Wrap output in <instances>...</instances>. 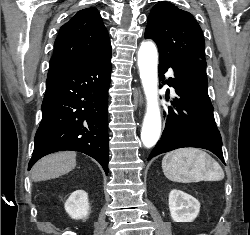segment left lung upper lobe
Here are the masks:
<instances>
[{
	"label": "left lung upper lobe",
	"mask_w": 250,
	"mask_h": 235,
	"mask_svg": "<svg viewBox=\"0 0 250 235\" xmlns=\"http://www.w3.org/2000/svg\"><path fill=\"white\" fill-rule=\"evenodd\" d=\"M145 38L158 46L159 59L168 62L205 60V41L202 30L189 12L169 2H159L148 18Z\"/></svg>",
	"instance_id": "1"
}]
</instances>
